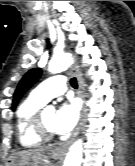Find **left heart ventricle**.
<instances>
[{"mask_svg":"<svg viewBox=\"0 0 135 166\" xmlns=\"http://www.w3.org/2000/svg\"><path fill=\"white\" fill-rule=\"evenodd\" d=\"M55 118V113L53 111H45L43 114V122L48 130L53 132V121Z\"/></svg>","mask_w":135,"mask_h":166,"instance_id":"1","label":"left heart ventricle"}]
</instances>
